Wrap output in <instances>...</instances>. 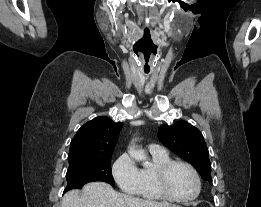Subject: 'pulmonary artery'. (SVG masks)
<instances>
[{
    "label": "pulmonary artery",
    "mask_w": 261,
    "mask_h": 207,
    "mask_svg": "<svg viewBox=\"0 0 261 207\" xmlns=\"http://www.w3.org/2000/svg\"><path fill=\"white\" fill-rule=\"evenodd\" d=\"M149 150H150V152H154V153H164V152H166L163 147H161L157 144L149 145Z\"/></svg>",
    "instance_id": "obj_1"
}]
</instances>
